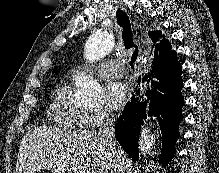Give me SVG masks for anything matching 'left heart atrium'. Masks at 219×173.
Segmentation results:
<instances>
[{
	"mask_svg": "<svg viewBox=\"0 0 219 173\" xmlns=\"http://www.w3.org/2000/svg\"><path fill=\"white\" fill-rule=\"evenodd\" d=\"M128 94V88L125 83L113 81L106 86L104 94L105 103L110 108H119L126 102Z\"/></svg>",
	"mask_w": 219,
	"mask_h": 173,
	"instance_id": "39dd6f15",
	"label": "left heart atrium"
}]
</instances>
